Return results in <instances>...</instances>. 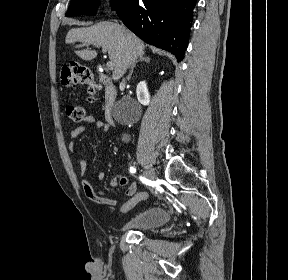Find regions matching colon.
<instances>
[{
  "label": "colon",
  "mask_w": 288,
  "mask_h": 280,
  "mask_svg": "<svg viewBox=\"0 0 288 280\" xmlns=\"http://www.w3.org/2000/svg\"><path fill=\"white\" fill-rule=\"evenodd\" d=\"M61 82L66 87H73L77 84H86L89 86V93L93 97L99 89V86L93 81L90 71L78 64H73L63 68L61 71ZM68 116L76 123L84 120L85 109L81 105H69L67 107ZM146 197L145 193H139L133 200L129 201L120 211H124L135 202H139Z\"/></svg>",
  "instance_id": "1"
}]
</instances>
